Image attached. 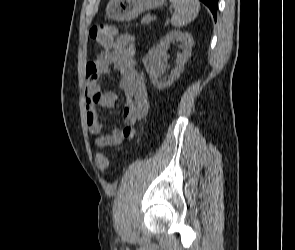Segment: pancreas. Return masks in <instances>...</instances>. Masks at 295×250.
<instances>
[{"instance_id": "cf45deb5", "label": "pancreas", "mask_w": 295, "mask_h": 250, "mask_svg": "<svg viewBox=\"0 0 295 250\" xmlns=\"http://www.w3.org/2000/svg\"><path fill=\"white\" fill-rule=\"evenodd\" d=\"M151 20H152V18H151L150 15H145V16L143 17V19H142L141 22H142L143 24H147V23H149Z\"/></svg>"}]
</instances>
